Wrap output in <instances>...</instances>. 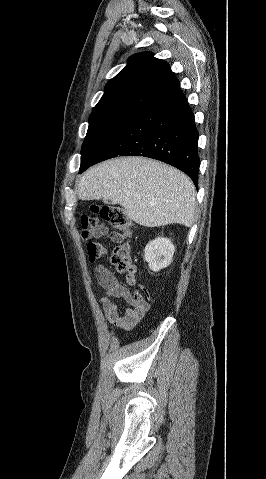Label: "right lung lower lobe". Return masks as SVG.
Wrapping results in <instances>:
<instances>
[{"instance_id":"1","label":"right lung lower lobe","mask_w":266,"mask_h":479,"mask_svg":"<svg viewBox=\"0 0 266 479\" xmlns=\"http://www.w3.org/2000/svg\"><path fill=\"white\" fill-rule=\"evenodd\" d=\"M197 144L194 115L179 86L139 111L92 165L117 156H145L182 170L197 187L200 166Z\"/></svg>"}]
</instances>
